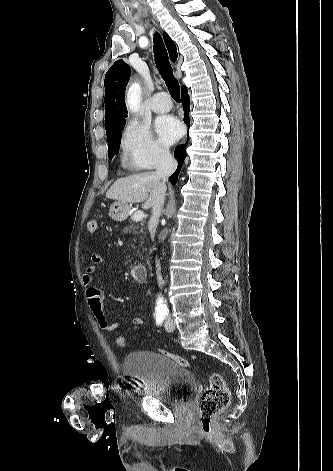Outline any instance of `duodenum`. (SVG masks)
Segmentation results:
<instances>
[{
  "label": "duodenum",
  "instance_id": "duodenum-1",
  "mask_svg": "<svg viewBox=\"0 0 333 471\" xmlns=\"http://www.w3.org/2000/svg\"><path fill=\"white\" fill-rule=\"evenodd\" d=\"M131 276L138 283L146 280V268L143 265H135L131 268Z\"/></svg>",
  "mask_w": 333,
  "mask_h": 471
}]
</instances>
